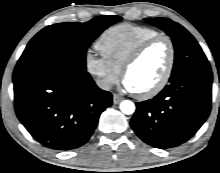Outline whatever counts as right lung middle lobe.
<instances>
[{"mask_svg": "<svg viewBox=\"0 0 220 173\" xmlns=\"http://www.w3.org/2000/svg\"><path fill=\"white\" fill-rule=\"evenodd\" d=\"M119 16H101L85 23H59L45 27L28 43L18 64L58 59L86 70V50Z\"/></svg>", "mask_w": 220, "mask_h": 173, "instance_id": "1", "label": "right lung middle lobe"}]
</instances>
